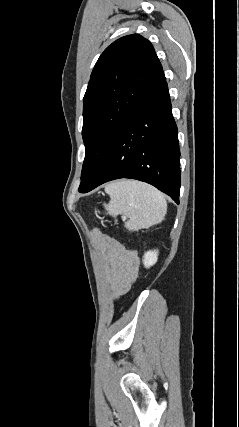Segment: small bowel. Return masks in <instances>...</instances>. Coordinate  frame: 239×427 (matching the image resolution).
I'll use <instances>...</instances> for the list:
<instances>
[{
	"mask_svg": "<svg viewBox=\"0 0 239 427\" xmlns=\"http://www.w3.org/2000/svg\"><path fill=\"white\" fill-rule=\"evenodd\" d=\"M93 235L106 262L113 294L119 297L126 293L136 281L139 259L135 251L125 249L120 242L100 231H94Z\"/></svg>",
	"mask_w": 239,
	"mask_h": 427,
	"instance_id": "c3829d8e",
	"label": "small bowel"
}]
</instances>
